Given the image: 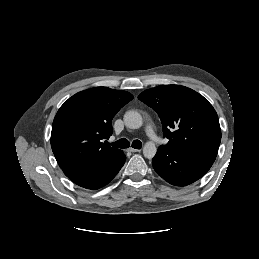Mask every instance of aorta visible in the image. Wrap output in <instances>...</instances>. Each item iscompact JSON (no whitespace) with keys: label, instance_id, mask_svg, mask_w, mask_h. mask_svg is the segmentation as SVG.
<instances>
[{"label":"aorta","instance_id":"762f6f07","mask_svg":"<svg viewBox=\"0 0 259 259\" xmlns=\"http://www.w3.org/2000/svg\"><path fill=\"white\" fill-rule=\"evenodd\" d=\"M124 122L126 127L130 129H139L143 124V119L139 112L130 110L125 113ZM156 151L157 149L153 142L149 141L145 143L143 147V154L146 158H153L156 154Z\"/></svg>","mask_w":259,"mask_h":259}]
</instances>
